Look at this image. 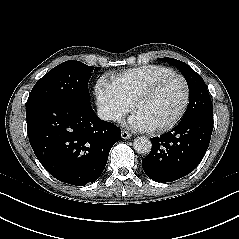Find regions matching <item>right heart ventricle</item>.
Here are the masks:
<instances>
[{
    "instance_id": "obj_1",
    "label": "right heart ventricle",
    "mask_w": 239,
    "mask_h": 239,
    "mask_svg": "<svg viewBox=\"0 0 239 239\" xmlns=\"http://www.w3.org/2000/svg\"><path fill=\"white\" fill-rule=\"evenodd\" d=\"M170 71H172L170 68L161 65H144L112 74L111 83L119 95L131 104L138 91L157 77Z\"/></svg>"
}]
</instances>
